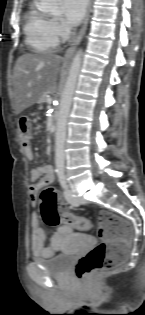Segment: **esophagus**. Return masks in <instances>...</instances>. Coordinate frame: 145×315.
<instances>
[{
    "mask_svg": "<svg viewBox=\"0 0 145 315\" xmlns=\"http://www.w3.org/2000/svg\"><path fill=\"white\" fill-rule=\"evenodd\" d=\"M90 8H91V0H88V4H87V11H86V15L83 21V25L78 33V35L76 36V38L74 39L73 43L71 44V46L67 49L65 55H64V59H69L72 57V55L74 54L77 46L79 45V43L81 42L86 29H87V25H88V20H89V15H90Z\"/></svg>",
    "mask_w": 145,
    "mask_h": 315,
    "instance_id": "esophagus-1",
    "label": "esophagus"
}]
</instances>
